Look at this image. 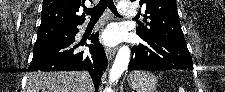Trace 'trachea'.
Masks as SVG:
<instances>
[{
    "label": "trachea",
    "mask_w": 225,
    "mask_h": 92,
    "mask_svg": "<svg viewBox=\"0 0 225 92\" xmlns=\"http://www.w3.org/2000/svg\"><path fill=\"white\" fill-rule=\"evenodd\" d=\"M107 7L114 15L119 16L113 0H100L95 7L84 9V13L91 15V19L99 18Z\"/></svg>",
    "instance_id": "obj_1"
}]
</instances>
